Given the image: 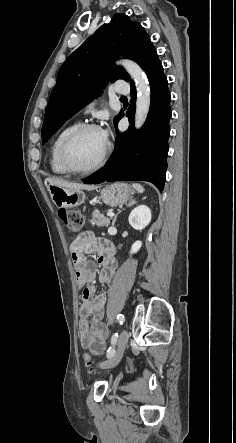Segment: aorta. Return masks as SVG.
Segmentation results:
<instances>
[{"mask_svg": "<svg viewBox=\"0 0 236 443\" xmlns=\"http://www.w3.org/2000/svg\"><path fill=\"white\" fill-rule=\"evenodd\" d=\"M123 65L130 76L135 80L137 87V100L135 112V127H141L146 121L150 102L151 92L148 80L138 64L131 60H124Z\"/></svg>", "mask_w": 236, "mask_h": 443, "instance_id": "obj_1", "label": "aorta"}]
</instances>
